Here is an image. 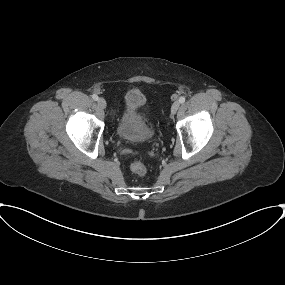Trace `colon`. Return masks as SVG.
I'll return each mask as SVG.
<instances>
[{
  "label": "colon",
  "instance_id": "5ec220e1",
  "mask_svg": "<svg viewBox=\"0 0 285 285\" xmlns=\"http://www.w3.org/2000/svg\"><path fill=\"white\" fill-rule=\"evenodd\" d=\"M130 169L134 174L138 176H144L147 171L145 165L140 161L132 162L130 165Z\"/></svg>",
  "mask_w": 285,
  "mask_h": 285
}]
</instances>
